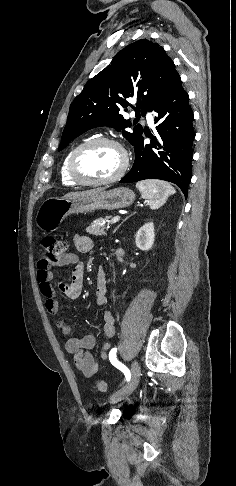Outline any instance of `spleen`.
I'll use <instances>...</instances> for the list:
<instances>
[{"instance_id": "spleen-1", "label": "spleen", "mask_w": 236, "mask_h": 486, "mask_svg": "<svg viewBox=\"0 0 236 486\" xmlns=\"http://www.w3.org/2000/svg\"><path fill=\"white\" fill-rule=\"evenodd\" d=\"M137 189L151 209H158L176 191L169 183L160 180H143L136 183Z\"/></svg>"}]
</instances>
